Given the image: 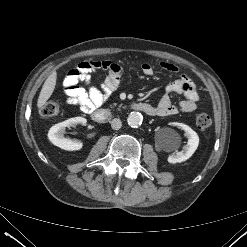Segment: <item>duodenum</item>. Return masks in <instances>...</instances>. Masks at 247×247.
<instances>
[{"label": "duodenum", "instance_id": "410a0bca", "mask_svg": "<svg viewBox=\"0 0 247 247\" xmlns=\"http://www.w3.org/2000/svg\"><path fill=\"white\" fill-rule=\"evenodd\" d=\"M130 108L145 113L149 116L156 115V108L149 103L133 102L130 104ZM111 117L112 114L108 109H97L92 112V119L97 123H106L111 119Z\"/></svg>", "mask_w": 247, "mask_h": 247}]
</instances>
